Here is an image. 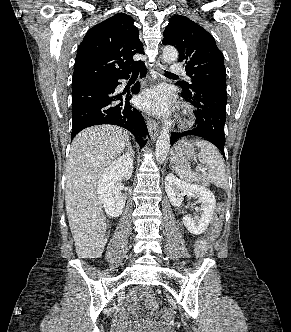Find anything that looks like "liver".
Masks as SVG:
<instances>
[{"label":"liver","mask_w":291,"mask_h":332,"mask_svg":"<svg viewBox=\"0 0 291 332\" xmlns=\"http://www.w3.org/2000/svg\"><path fill=\"white\" fill-rule=\"evenodd\" d=\"M128 142V133L112 125L87 128L72 141L66 164L65 206L80 258H100L103 253L106 220L97 196L98 180Z\"/></svg>","instance_id":"liver-1"}]
</instances>
